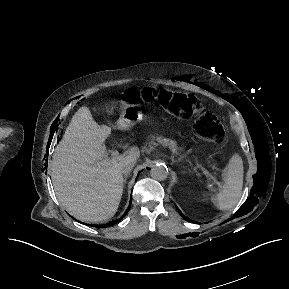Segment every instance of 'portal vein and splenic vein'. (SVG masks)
Returning a JSON list of instances; mask_svg holds the SVG:
<instances>
[{"label":"portal vein and splenic vein","mask_w":289,"mask_h":289,"mask_svg":"<svg viewBox=\"0 0 289 289\" xmlns=\"http://www.w3.org/2000/svg\"><path fill=\"white\" fill-rule=\"evenodd\" d=\"M121 158V155H119V153L117 151H113L111 154V159H107L108 160H117ZM203 174L206 176V178L208 179L209 182H213L216 183L218 185H220V182L217 180L216 177H214L207 169H205L204 167H201ZM212 185H209V187H211Z\"/></svg>","instance_id":"obj_1"}]
</instances>
